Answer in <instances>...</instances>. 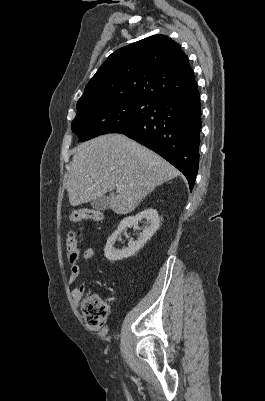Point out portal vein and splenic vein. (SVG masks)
I'll return each instance as SVG.
<instances>
[{"instance_id": "18ae733b", "label": "portal vein and splenic vein", "mask_w": 265, "mask_h": 401, "mask_svg": "<svg viewBox=\"0 0 265 401\" xmlns=\"http://www.w3.org/2000/svg\"><path fill=\"white\" fill-rule=\"evenodd\" d=\"M117 190H122V188H125L124 184H116Z\"/></svg>"}]
</instances>
